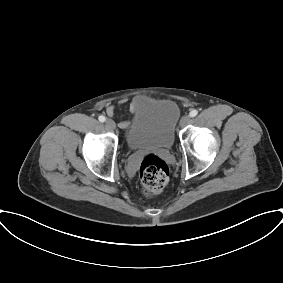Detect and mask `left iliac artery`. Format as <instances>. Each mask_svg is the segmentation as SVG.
<instances>
[{"instance_id":"left-iliac-artery-1","label":"left iliac artery","mask_w":283,"mask_h":283,"mask_svg":"<svg viewBox=\"0 0 283 283\" xmlns=\"http://www.w3.org/2000/svg\"><path fill=\"white\" fill-rule=\"evenodd\" d=\"M197 114H198V111H197L196 109H193V110L189 113L190 117H195Z\"/></svg>"}]
</instances>
